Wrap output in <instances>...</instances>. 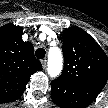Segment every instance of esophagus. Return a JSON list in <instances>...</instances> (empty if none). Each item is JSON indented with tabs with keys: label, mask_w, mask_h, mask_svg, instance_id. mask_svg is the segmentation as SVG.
Returning <instances> with one entry per match:
<instances>
[{
	"label": "esophagus",
	"mask_w": 108,
	"mask_h": 108,
	"mask_svg": "<svg viewBox=\"0 0 108 108\" xmlns=\"http://www.w3.org/2000/svg\"><path fill=\"white\" fill-rule=\"evenodd\" d=\"M41 64H42L43 68H46L47 60L46 59L42 60Z\"/></svg>",
	"instance_id": "34e87169"
}]
</instances>
